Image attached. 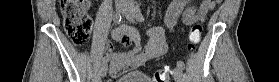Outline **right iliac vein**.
Here are the masks:
<instances>
[{
	"label": "right iliac vein",
	"mask_w": 279,
	"mask_h": 82,
	"mask_svg": "<svg viewBox=\"0 0 279 82\" xmlns=\"http://www.w3.org/2000/svg\"><path fill=\"white\" fill-rule=\"evenodd\" d=\"M125 5L120 3V4H116V12L117 13H121L125 11ZM108 71V65L105 63L101 66V70H100V74L102 77H105Z\"/></svg>",
	"instance_id": "63e3f726"
}]
</instances>
